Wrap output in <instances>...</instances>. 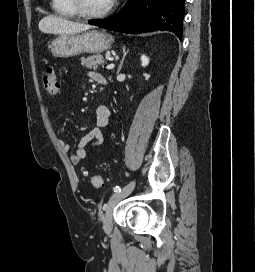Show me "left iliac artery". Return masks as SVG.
I'll return each mask as SVG.
<instances>
[{
  "label": "left iliac artery",
  "mask_w": 255,
  "mask_h": 272,
  "mask_svg": "<svg viewBox=\"0 0 255 272\" xmlns=\"http://www.w3.org/2000/svg\"><path fill=\"white\" fill-rule=\"evenodd\" d=\"M114 192H121V188L119 186L114 187Z\"/></svg>",
  "instance_id": "obj_1"
}]
</instances>
